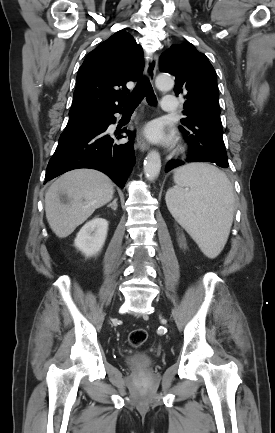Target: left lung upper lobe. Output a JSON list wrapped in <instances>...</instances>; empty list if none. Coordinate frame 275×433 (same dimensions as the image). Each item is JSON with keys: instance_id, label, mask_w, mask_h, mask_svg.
<instances>
[{"instance_id": "1", "label": "left lung upper lobe", "mask_w": 275, "mask_h": 433, "mask_svg": "<svg viewBox=\"0 0 275 433\" xmlns=\"http://www.w3.org/2000/svg\"><path fill=\"white\" fill-rule=\"evenodd\" d=\"M160 70L175 76L174 91L185 95L180 126L195 162L216 163L228 167L222 138L215 70L208 58L191 43L173 45L162 53Z\"/></svg>"}]
</instances>
